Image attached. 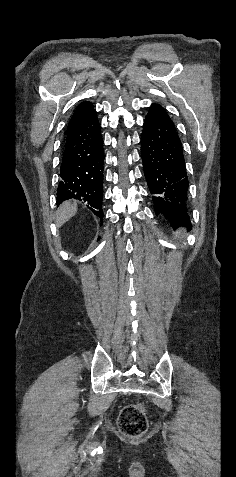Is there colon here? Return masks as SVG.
Listing matches in <instances>:
<instances>
[{
  "label": "colon",
  "instance_id": "obj_1",
  "mask_svg": "<svg viewBox=\"0 0 236 477\" xmlns=\"http://www.w3.org/2000/svg\"><path fill=\"white\" fill-rule=\"evenodd\" d=\"M119 431L127 437H139L148 428V420L143 407L140 404L125 406L118 417Z\"/></svg>",
  "mask_w": 236,
  "mask_h": 477
}]
</instances>
